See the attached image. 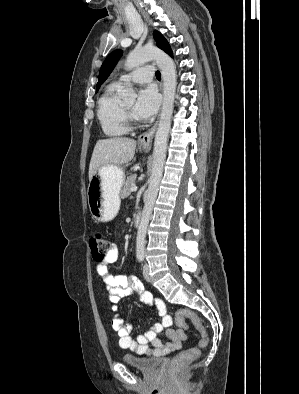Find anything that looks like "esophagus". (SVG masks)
<instances>
[{
	"instance_id": "obj_1",
	"label": "esophagus",
	"mask_w": 299,
	"mask_h": 394,
	"mask_svg": "<svg viewBox=\"0 0 299 394\" xmlns=\"http://www.w3.org/2000/svg\"><path fill=\"white\" fill-rule=\"evenodd\" d=\"M160 91L163 92V83L160 82ZM158 122L156 123L146 132L142 133L138 137V143L143 148H150L152 145V140L157 129Z\"/></svg>"
}]
</instances>
